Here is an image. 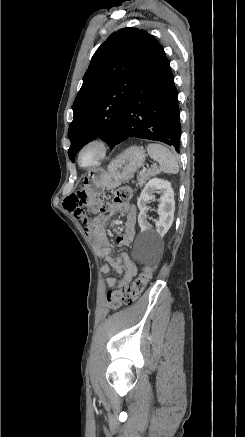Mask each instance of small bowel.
Wrapping results in <instances>:
<instances>
[{"label": "small bowel", "instance_id": "small-bowel-1", "mask_svg": "<svg viewBox=\"0 0 245 437\" xmlns=\"http://www.w3.org/2000/svg\"><path fill=\"white\" fill-rule=\"evenodd\" d=\"M83 190L86 188L84 185L81 187ZM86 193L79 190L71 194L66 200L64 207L72 213L77 219L82 221L81 226L91 236L92 244L96 254L104 261L101 268L102 273L109 274L111 268L116 271V276H110L105 280L108 287H125L137 274V267L134 261L128 254H116L111 249V243L106 231L104 220H93L92 215L86 213ZM92 203L91 206H94ZM111 212L121 211L126 215V221L124 224V232L117 236V242L123 246H129L136 234L137 223V210L132 203H113L111 205Z\"/></svg>", "mask_w": 245, "mask_h": 437}]
</instances>
